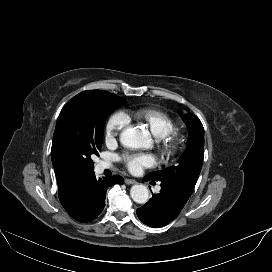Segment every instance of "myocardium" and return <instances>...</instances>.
<instances>
[{"label": "myocardium", "instance_id": "obj_1", "mask_svg": "<svg viewBox=\"0 0 272 272\" xmlns=\"http://www.w3.org/2000/svg\"><path fill=\"white\" fill-rule=\"evenodd\" d=\"M158 143L162 144V147L168 152H171L175 147V141L170 134L159 137Z\"/></svg>", "mask_w": 272, "mask_h": 272}]
</instances>
